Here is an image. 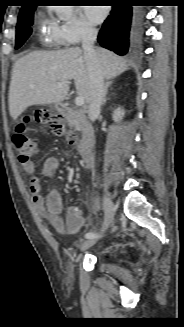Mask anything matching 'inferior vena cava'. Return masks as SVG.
I'll return each instance as SVG.
<instances>
[{
	"label": "inferior vena cava",
	"mask_w": 184,
	"mask_h": 327,
	"mask_svg": "<svg viewBox=\"0 0 184 327\" xmlns=\"http://www.w3.org/2000/svg\"><path fill=\"white\" fill-rule=\"evenodd\" d=\"M97 38V30L86 27L82 36V48L88 64L90 76V101L88 107L89 118L93 121L100 113L105 86L101 65L94 50V42Z\"/></svg>",
	"instance_id": "602c4592"
}]
</instances>
